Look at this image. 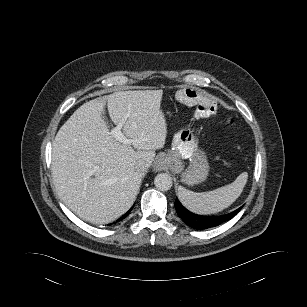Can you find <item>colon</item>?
Listing matches in <instances>:
<instances>
[{"label":"colon","mask_w":307,"mask_h":307,"mask_svg":"<svg viewBox=\"0 0 307 307\" xmlns=\"http://www.w3.org/2000/svg\"><path fill=\"white\" fill-rule=\"evenodd\" d=\"M225 124H227V125H232V124H233V121H232V120H227V121L225 122Z\"/></svg>","instance_id":"obj_1"}]
</instances>
